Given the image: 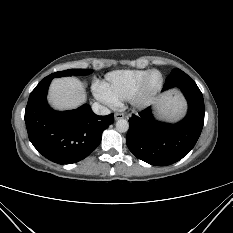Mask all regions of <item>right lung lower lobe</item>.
<instances>
[{"instance_id":"obj_1","label":"right lung lower lobe","mask_w":233,"mask_h":233,"mask_svg":"<svg viewBox=\"0 0 233 233\" xmlns=\"http://www.w3.org/2000/svg\"><path fill=\"white\" fill-rule=\"evenodd\" d=\"M54 77H45L30 94L25 109L28 136L47 159L58 164L75 163L96 149L114 115L98 116L88 104L64 112L51 109L46 96Z\"/></svg>"}]
</instances>
